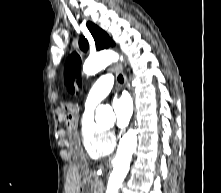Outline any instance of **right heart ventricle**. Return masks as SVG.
Returning <instances> with one entry per match:
<instances>
[{
  "label": "right heart ventricle",
  "mask_w": 221,
  "mask_h": 193,
  "mask_svg": "<svg viewBox=\"0 0 221 193\" xmlns=\"http://www.w3.org/2000/svg\"><path fill=\"white\" fill-rule=\"evenodd\" d=\"M81 142L87 155L98 159L109 155L115 146L106 128L94 121L92 109H85L80 123Z\"/></svg>",
  "instance_id": "e07e8e85"
}]
</instances>
